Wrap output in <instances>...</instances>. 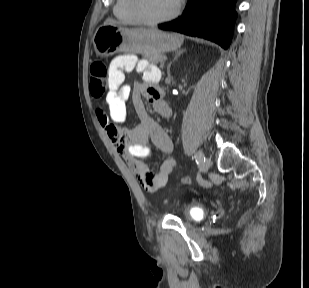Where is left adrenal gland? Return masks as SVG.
Masks as SVG:
<instances>
[{"label": "left adrenal gland", "mask_w": 309, "mask_h": 288, "mask_svg": "<svg viewBox=\"0 0 309 288\" xmlns=\"http://www.w3.org/2000/svg\"><path fill=\"white\" fill-rule=\"evenodd\" d=\"M185 51H186V49H182V50L176 51L175 57H174L173 61H171V62L168 64V66H167V73H168V76H170V66H171V64H172L175 60H177V58H178L182 53H184Z\"/></svg>", "instance_id": "1"}]
</instances>
